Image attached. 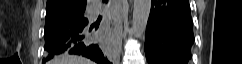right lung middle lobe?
Here are the masks:
<instances>
[{"mask_svg": "<svg viewBox=\"0 0 242 64\" xmlns=\"http://www.w3.org/2000/svg\"><path fill=\"white\" fill-rule=\"evenodd\" d=\"M85 8L86 6L76 10L46 13L45 39L56 31L88 23V19L84 17Z\"/></svg>", "mask_w": 242, "mask_h": 64, "instance_id": "obj_1", "label": "right lung middle lobe"}]
</instances>
